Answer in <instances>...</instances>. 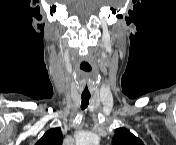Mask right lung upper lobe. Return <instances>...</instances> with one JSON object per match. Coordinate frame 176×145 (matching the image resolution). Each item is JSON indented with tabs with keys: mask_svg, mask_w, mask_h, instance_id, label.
I'll list each match as a JSON object with an SVG mask.
<instances>
[{
	"mask_svg": "<svg viewBox=\"0 0 176 145\" xmlns=\"http://www.w3.org/2000/svg\"><path fill=\"white\" fill-rule=\"evenodd\" d=\"M36 145H62V132L59 127L45 132Z\"/></svg>",
	"mask_w": 176,
	"mask_h": 145,
	"instance_id": "right-lung-upper-lobe-1",
	"label": "right lung upper lobe"
}]
</instances>
